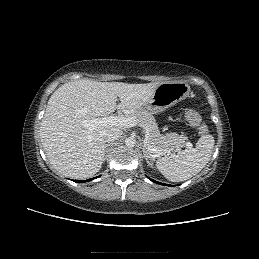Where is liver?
I'll use <instances>...</instances> for the list:
<instances>
[{"label": "liver", "instance_id": "6515ba94", "mask_svg": "<svg viewBox=\"0 0 259 259\" xmlns=\"http://www.w3.org/2000/svg\"><path fill=\"white\" fill-rule=\"evenodd\" d=\"M160 83L128 84L81 79L65 83L50 97L40 125V138L50 163L59 172L83 179L95 175L105 156L104 135L118 126L90 131L83 120L122 111L139 110ZM119 98L120 103L116 101Z\"/></svg>", "mask_w": 259, "mask_h": 259}]
</instances>
